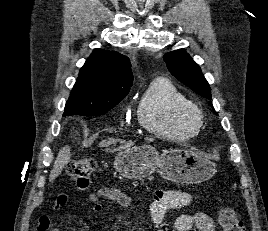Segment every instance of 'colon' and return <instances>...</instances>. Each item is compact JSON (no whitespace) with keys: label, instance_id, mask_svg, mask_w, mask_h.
<instances>
[{"label":"colon","instance_id":"colon-1","mask_svg":"<svg viewBox=\"0 0 268 231\" xmlns=\"http://www.w3.org/2000/svg\"><path fill=\"white\" fill-rule=\"evenodd\" d=\"M96 168V163L90 158H80L70 162L67 166L68 175L78 187H86ZM218 221L222 231H246L244 224L237 218L229 207H222L218 214Z\"/></svg>","mask_w":268,"mask_h":231}]
</instances>
